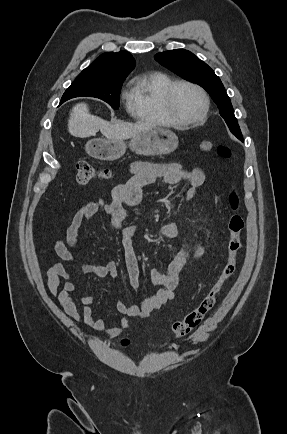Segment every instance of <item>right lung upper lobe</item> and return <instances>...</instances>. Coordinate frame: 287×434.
<instances>
[{"instance_id":"1","label":"right lung upper lobe","mask_w":287,"mask_h":434,"mask_svg":"<svg viewBox=\"0 0 287 434\" xmlns=\"http://www.w3.org/2000/svg\"><path fill=\"white\" fill-rule=\"evenodd\" d=\"M134 67L135 61L129 52H107L100 55L78 76L119 81L125 80Z\"/></svg>"}]
</instances>
